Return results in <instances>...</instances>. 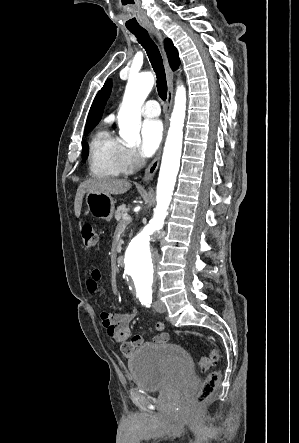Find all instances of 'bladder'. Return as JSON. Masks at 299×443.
<instances>
[{
	"label": "bladder",
	"instance_id": "bladder-1",
	"mask_svg": "<svg viewBox=\"0 0 299 443\" xmlns=\"http://www.w3.org/2000/svg\"><path fill=\"white\" fill-rule=\"evenodd\" d=\"M133 383L157 391L193 378V360L179 345L163 343L137 349L127 361Z\"/></svg>",
	"mask_w": 299,
	"mask_h": 443
}]
</instances>
